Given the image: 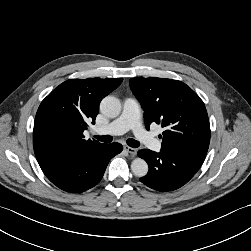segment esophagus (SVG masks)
<instances>
[{"label":"esophagus","instance_id":"1","mask_svg":"<svg viewBox=\"0 0 251 251\" xmlns=\"http://www.w3.org/2000/svg\"><path fill=\"white\" fill-rule=\"evenodd\" d=\"M124 150L127 151L132 156H135L137 153V150L135 148L129 147L127 145L124 146Z\"/></svg>","mask_w":251,"mask_h":251}]
</instances>
